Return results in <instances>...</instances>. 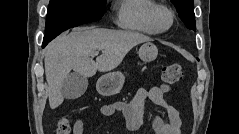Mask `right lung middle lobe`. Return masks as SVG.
I'll return each mask as SVG.
<instances>
[{
    "instance_id": "dd1d6c3e",
    "label": "right lung middle lobe",
    "mask_w": 239,
    "mask_h": 134,
    "mask_svg": "<svg viewBox=\"0 0 239 134\" xmlns=\"http://www.w3.org/2000/svg\"><path fill=\"white\" fill-rule=\"evenodd\" d=\"M106 0H50L45 37L55 38L63 31L100 20Z\"/></svg>"
}]
</instances>
